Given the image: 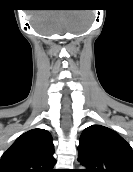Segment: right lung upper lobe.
Segmentation results:
<instances>
[{"label":"right lung upper lobe","mask_w":133,"mask_h":172,"mask_svg":"<svg viewBox=\"0 0 133 172\" xmlns=\"http://www.w3.org/2000/svg\"><path fill=\"white\" fill-rule=\"evenodd\" d=\"M52 137L47 130L32 129L22 134L3 154L0 172H55Z\"/></svg>","instance_id":"cb5924a9"}]
</instances>
